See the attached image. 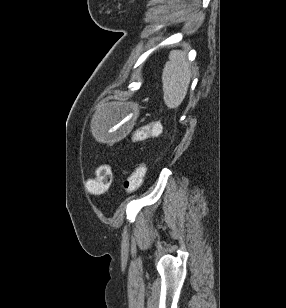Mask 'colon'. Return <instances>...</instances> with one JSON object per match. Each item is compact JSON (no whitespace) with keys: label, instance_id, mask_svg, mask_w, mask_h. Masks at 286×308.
<instances>
[{"label":"colon","instance_id":"colon-1","mask_svg":"<svg viewBox=\"0 0 286 308\" xmlns=\"http://www.w3.org/2000/svg\"><path fill=\"white\" fill-rule=\"evenodd\" d=\"M160 133L159 122H151L144 127L136 129L131 139L134 142L143 141L150 136H155ZM147 167L145 164H139L134 170L126 177L123 184L125 193L131 194L137 191L143 183ZM112 182V168L109 164H101L96 171V176L92 179H88L85 186L88 191L92 193H104L106 192Z\"/></svg>","mask_w":286,"mask_h":308}]
</instances>
